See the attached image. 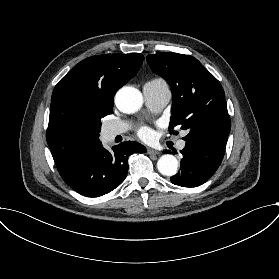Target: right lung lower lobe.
<instances>
[{
    "instance_id": "98d812e1",
    "label": "right lung lower lobe",
    "mask_w": 279,
    "mask_h": 279,
    "mask_svg": "<svg viewBox=\"0 0 279 279\" xmlns=\"http://www.w3.org/2000/svg\"><path fill=\"white\" fill-rule=\"evenodd\" d=\"M109 152L102 144L68 171L59 173L63 180L78 193L99 197L111 192L126 178L128 157L145 153L146 148L135 141H126Z\"/></svg>"
}]
</instances>
